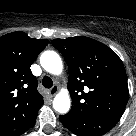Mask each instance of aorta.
Wrapping results in <instances>:
<instances>
[{
	"mask_svg": "<svg viewBox=\"0 0 136 136\" xmlns=\"http://www.w3.org/2000/svg\"><path fill=\"white\" fill-rule=\"evenodd\" d=\"M40 64L47 72L59 75L63 69V63L60 56L54 51H45L41 54ZM71 105L70 96L67 92L58 93L53 100L55 111L65 114L69 111Z\"/></svg>",
	"mask_w": 136,
	"mask_h": 136,
	"instance_id": "aorta-1",
	"label": "aorta"
}]
</instances>
